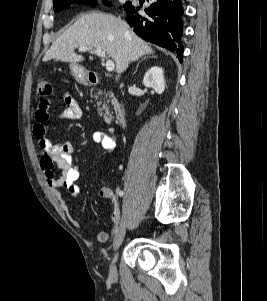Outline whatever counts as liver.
<instances>
[{"label":"liver","mask_w":267,"mask_h":301,"mask_svg":"<svg viewBox=\"0 0 267 301\" xmlns=\"http://www.w3.org/2000/svg\"><path fill=\"white\" fill-rule=\"evenodd\" d=\"M83 46L107 53L114 60L118 74L124 72L130 62L153 53L152 47L138 37L125 21L94 11L82 15L60 35L44 55L43 61L55 59L77 64L84 61V57L77 55L75 49Z\"/></svg>","instance_id":"6515ba94"}]
</instances>
